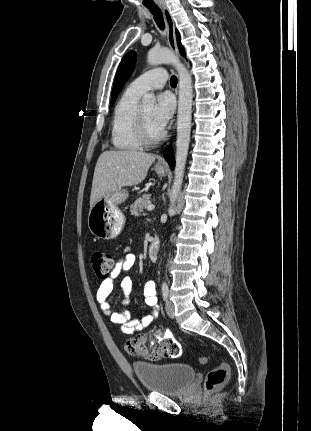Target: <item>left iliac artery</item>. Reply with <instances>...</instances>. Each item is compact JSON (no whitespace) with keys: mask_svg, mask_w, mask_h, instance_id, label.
I'll return each mask as SVG.
<instances>
[{"mask_svg":"<svg viewBox=\"0 0 311 431\" xmlns=\"http://www.w3.org/2000/svg\"><path fill=\"white\" fill-rule=\"evenodd\" d=\"M161 290H162V296L164 300H167L168 298V294H169V289L166 283H163L161 286Z\"/></svg>","mask_w":311,"mask_h":431,"instance_id":"44dca946","label":"left iliac artery"}]
</instances>
